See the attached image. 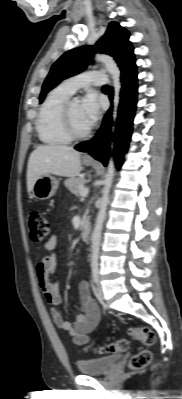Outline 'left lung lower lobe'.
<instances>
[{
    "label": "left lung lower lobe",
    "mask_w": 182,
    "mask_h": 399,
    "mask_svg": "<svg viewBox=\"0 0 182 399\" xmlns=\"http://www.w3.org/2000/svg\"><path fill=\"white\" fill-rule=\"evenodd\" d=\"M122 89L120 93V105L118 111V118L116 122L115 133V151L114 157L118 167L123 162V155L126 153L128 143L130 141L133 118L137 103V70L136 66L124 71L121 75ZM110 99L113 98V90L110 93ZM110 109L105 117L101 128L97 135L91 141L83 142L75 146V149L81 152L89 153L98 161L107 165L108 157L110 156L109 143L111 138L110 127L112 125V117Z\"/></svg>",
    "instance_id": "obj_1"
}]
</instances>
